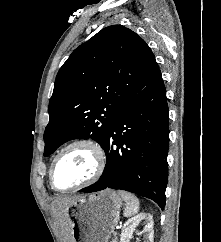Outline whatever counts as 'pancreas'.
<instances>
[{"mask_svg": "<svg viewBox=\"0 0 221 242\" xmlns=\"http://www.w3.org/2000/svg\"><path fill=\"white\" fill-rule=\"evenodd\" d=\"M111 242H117V237H114Z\"/></svg>", "mask_w": 221, "mask_h": 242, "instance_id": "1", "label": "pancreas"}]
</instances>
